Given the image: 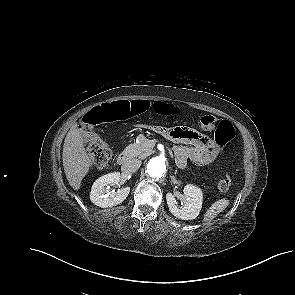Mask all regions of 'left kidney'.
<instances>
[{
	"mask_svg": "<svg viewBox=\"0 0 295 295\" xmlns=\"http://www.w3.org/2000/svg\"><path fill=\"white\" fill-rule=\"evenodd\" d=\"M202 200V190L194 185H186L184 187L181 207H178V202L172 193L166 194V201L170 212L182 220L196 219L202 207Z\"/></svg>",
	"mask_w": 295,
	"mask_h": 295,
	"instance_id": "1",
	"label": "left kidney"
}]
</instances>
